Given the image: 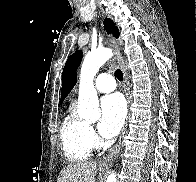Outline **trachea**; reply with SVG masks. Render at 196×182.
Listing matches in <instances>:
<instances>
[{"instance_id":"obj_1","label":"trachea","mask_w":196,"mask_h":182,"mask_svg":"<svg viewBox=\"0 0 196 182\" xmlns=\"http://www.w3.org/2000/svg\"><path fill=\"white\" fill-rule=\"evenodd\" d=\"M115 76L117 77V79L119 81H122L123 80V73H122V71L120 69H116Z\"/></svg>"}]
</instances>
